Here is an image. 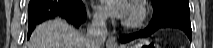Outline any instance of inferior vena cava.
<instances>
[{
    "mask_svg": "<svg viewBox=\"0 0 213 48\" xmlns=\"http://www.w3.org/2000/svg\"><path fill=\"white\" fill-rule=\"evenodd\" d=\"M106 17L102 13H95L85 36L87 48H100L107 37Z\"/></svg>",
    "mask_w": 213,
    "mask_h": 48,
    "instance_id": "602c4592",
    "label": "inferior vena cava"
}]
</instances>
